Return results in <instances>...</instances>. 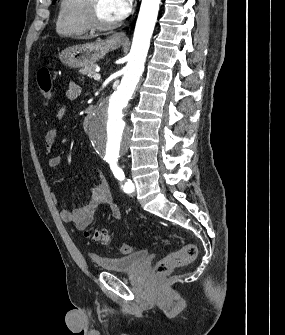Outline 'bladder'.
I'll use <instances>...</instances> for the list:
<instances>
[{"label":"bladder","instance_id":"1","mask_svg":"<svg viewBox=\"0 0 285 335\" xmlns=\"http://www.w3.org/2000/svg\"><path fill=\"white\" fill-rule=\"evenodd\" d=\"M148 257V250L146 248H142L123 256H106L104 258H93V265H97L106 273H130L137 271L139 269V266L144 265Z\"/></svg>","mask_w":285,"mask_h":335}]
</instances>
